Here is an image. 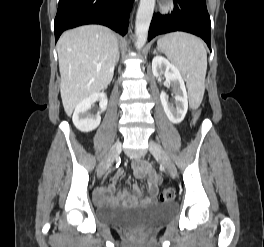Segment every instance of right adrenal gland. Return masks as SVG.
I'll return each instance as SVG.
<instances>
[{
	"instance_id": "right-adrenal-gland-1",
	"label": "right adrenal gland",
	"mask_w": 264,
	"mask_h": 247,
	"mask_svg": "<svg viewBox=\"0 0 264 247\" xmlns=\"http://www.w3.org/2000/svg\"><path fill=\"white\" fill-rule=\"evenodd\" d=\"M119 56H120V53L118 52V55H117V58H116V61H115V65H117V63L119 61Z\"/></svg>"
}]
</instances>
